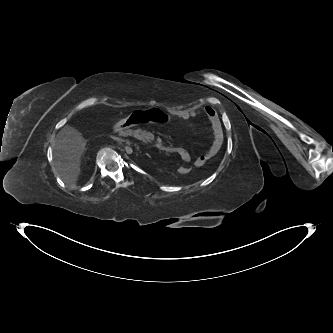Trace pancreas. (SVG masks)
Here are the masks:
<instances>
[{"label":"pancreas","mask_w":333,"mask_h":333,"mask_svg":"<svg viewBox=\"0 0 333 333\" xmlns=\"http://www.w3.org/2000/svg\"><path fill=\"white\" fill-rule=\"evenodd\" d=\"M126 135H132L134 136L135 138L143 141V142H147V140L145 139L146 137V133L143 132L142 130L140 129H137V130H127L125 132Z\"/></svg>","instance_id":"cf45deb5"}]
</instances>
